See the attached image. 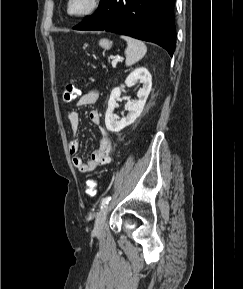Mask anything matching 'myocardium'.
Here are the masks:
<instances>
[{
  "instance_id": "1",
  "label": "myocardium",
  "mask_w": 243,
  "mask_h": 289,
  "mask_svg": "<svg viewBox=\"0 0 243 289\" xmlns=\"http://www.w3.org/2000/svg\"><path fill=\"white\" fill-rule=\"evenodd\" d=\"M72 2L73 0H67L66 11L70 16H73V17H85L88 15H91L95 13L96 11H98L102 4V0H89V4L84 10L79 11V12H74L71 9Z\"/></svg>"
}]
</instances>
